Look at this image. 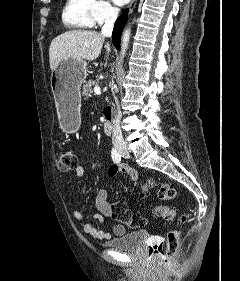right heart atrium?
Returning a JSON list of instances; mask_svg holds the SVG:
<instances>
[{
  "mask_svg": "<svg viewBox=\"0 0 240 281\" xmlns=\"http://www.w3.org/2000/svg\"><path fill=\"white\" fill-rule=\"evenodd\" d=\"M93 15L95 23L102 24L114 19L117 9L108 0H94Z\"/></svg>",
  "mask_w": 240,
  "mask_h": 281,
  "instance_id": "right-heart-atrium-1",
  "label": "right heart atrium"
}]
</instances>
